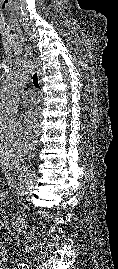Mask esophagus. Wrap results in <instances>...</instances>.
<instances>
[{"label": "esophagus", "mask_w": 118, "mask_h": 269, "mask_svg": "<svg viewBox=\"0 0 118 269\" xmlns=\"http://www.w3.org/2000/svg\"><path fill=\"white\" fill-rule=\"evenodd\" d=\"M36 69H37L38 74H40L39 64H36ZM29 158H30V156H29Z\"/></svg>", "instance_id": "obj_1"}]
</instances>
